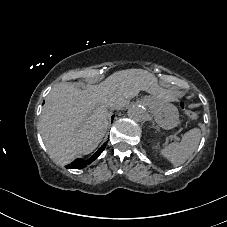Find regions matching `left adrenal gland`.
<instances>
[{"label":"left adrenal gland","instance_id":"a2214340","mask_svg":"<svg viewBox=\"0 0 227 227\" xmlns=\"http://www.w3.org/2000/svg\"><path fill=\"white\" fill-rule=\"evenodd\" d=\"M153 128H155L156 131H160V128L159 126H155V122H153V125H152Z\"/></svg>","mask_w":227,"mask_h":227}]
</instances>
